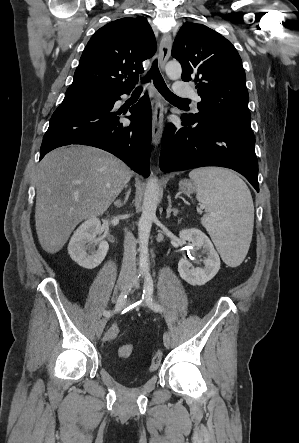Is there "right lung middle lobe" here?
Here are the masks:
<instances>
[{"label":"right lung middle lobe","instance_id":"obj_1","mask_svg":"<svg viewBox=\"0 0 299 443\" xmlns=\"http://www.w3.org/2000/svg\"><path fill=\"white\" fill-rule=\"evenodd\" d=\"M64 99L93 100L105 103L111 100V93L90 88L69 87Z\"/></svg>","mask_w":299,"mask_h":443}]
</instances>
